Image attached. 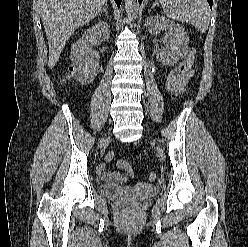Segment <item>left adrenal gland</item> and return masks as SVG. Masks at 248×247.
<instances>
[{
    "label": "left adrenal gland",
    "instance_id": "left-adrenal-gland-1",
    "mask_svg": "<svg viewBox=\"0 0 248 247\" xmlns=\"http://www.w3.org/2000/svg\"><path fill=\"white\" fill-rule=\"evenodd\" d=\"M156 6V3H154L153 5H152V8H154Z\"/></svg>",
    "mask_w": 248,
    "mask_h": 247
}]
</instances>
